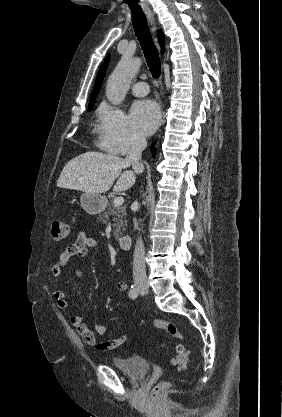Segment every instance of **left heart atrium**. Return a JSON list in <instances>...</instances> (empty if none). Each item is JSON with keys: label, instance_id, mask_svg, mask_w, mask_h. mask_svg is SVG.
<instances>
[{"label": "left heart atrium", "instance_id": "left-heart-atrium-1", "mask_svg": "<svg viewBox=\"0 0 282 417\" xmlns=\"http://www.w3.org/2000/svg\"><path fill=\"white\" fill-rule=\"evenodd\" d=\"M160 120V109L151 100H143L132 106L130 121L134 128L143 134L155 129Z\"/></svg>", "mask_w": 282, "mask_h": 417}]
</instances>
